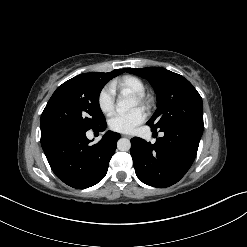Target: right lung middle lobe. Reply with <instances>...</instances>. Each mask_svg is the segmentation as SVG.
Wrapping results in <instances>:
<instances>
[{
	"label": "right lung middle lobe",
	"instance_id": "dd1d6c3e",
	"mask_svg": "<svg viewBox=\"0 0 247 247\" xmlns=\"http://www.w3.org/2000/svg\"><path fill=\"white\" fill-rule=\"evenodd\" d=\"M109 80L100 73H84L60 85L42 112L41 133L65 129L87 131L105 123L99 94Z\"/></svg>",
	"mask_w": 247,
	"mask_h": 247
}]
</instances>
